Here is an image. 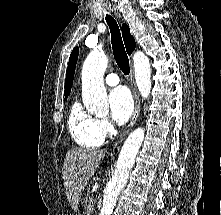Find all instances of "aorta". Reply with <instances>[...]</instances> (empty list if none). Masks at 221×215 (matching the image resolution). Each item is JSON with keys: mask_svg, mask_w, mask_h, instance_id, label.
Here are the masks:
<instances>
[{"mask_svg": "<svg viewBox=\"0 0 221 215\" xmlns=\"http://www.w3.org/2000/svg\"><path fill=\"white\" fill-rule=\"evenodd\" d=\"M135 79L138 90L144 99L151 92V67L149 58L137 51L133 55ZM108 57L99 50H93L86 58L82 68V97L87 111L96 116H106L109 112L104 73ZM144 129H135L124 142L117 159L116 168L108 182L103 197L100 215H111L119 193L125 187L129 172L144 140Z\"/></svg>", "mask_w": 221, "mask_h": 215, "instance_id": "762f6f07", "label": "aorta"}]
</instances>
